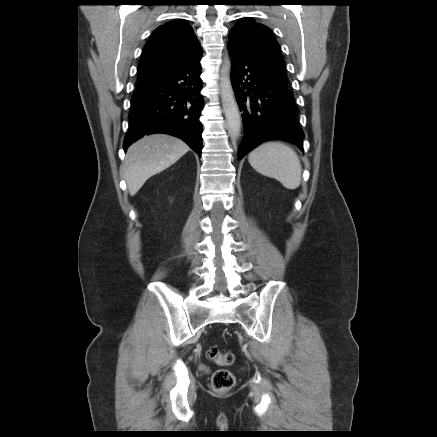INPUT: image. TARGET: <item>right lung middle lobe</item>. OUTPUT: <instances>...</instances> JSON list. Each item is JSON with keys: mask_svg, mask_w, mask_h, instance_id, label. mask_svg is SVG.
<instances>
[{"mask_svg": "<svg viewBox=\"0 0 437 437\" xmlns=\"http://www.w3.org/2000/svg\"><path fill=\"white\" fill-rule=\"evenodd\" d=\"M142 85H144V84H138L137 87H140V86H142Z\"/></svg>", "mask_w": 437, "mask_h": 437, "instance_id": "obj_1", "label": "right lung middle lobe"}]
</instances>
